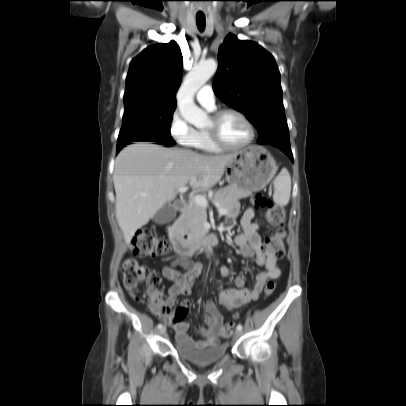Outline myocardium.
Returning <instances> with one entry per match:
<instances>
[{
  "instance_id": "1",
  "label": "myocardium",
  "mask_w": 406,
  "mask_h": 406,
  "mask_svg": "<svg viewBox=\"0 0 406 406\" xmlns=\"http://www.w3.org/2000/svg\"><path fill=\"white\" fill-rule=\"evenodd\" d=\"M229 113L237 115L248 127L249 136H248L247 140L240 145H230V144L225 143L219 134L218 122L225 114H229ZM211 119H212L213 125L211 128H207L206 132L210 136L212 142L220 149H224V150L244 149V148L248 147L255 139L256 132H255L253 123L242 111H240L236 108L227 107V108H222V109L216 110L215 112L212 113Z\"/></svg>"
}]
</instances>
